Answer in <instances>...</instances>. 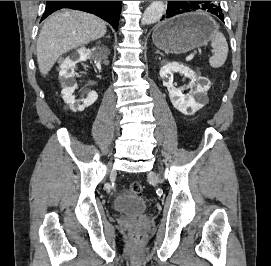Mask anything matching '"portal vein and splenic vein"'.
Instances as JSON below:
<instances>
[{
  "label": "portal vein and splenic vein",
  "instance_id": "18ae733b",
  "mask_svg": "<svg viewBox=\"0 0 271 266\" xmlns=\"http://www.w3.org/2000/svg\"><path fill=\"white\" fill-rule=\"evenodd\" d=\"M195 54H196V51H194L193 53L189 54V55L187 56L186 60H187V61L192 60V59L194 58Z\"/></svg>",
  "mask_w": 271,
  "mask_h": 266
}]
</instances>
